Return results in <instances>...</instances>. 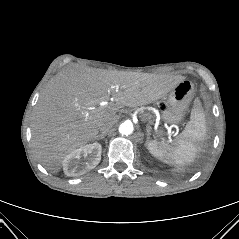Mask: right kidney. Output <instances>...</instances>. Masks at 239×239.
Listing matches in <instances>:
<instances>
[{
  "label": "right kidney",
  "mask_w": 239,
  "mask_h": 239,
  "mask_svg": "<svg viewBox=\"0 0 239 239\" xmlns=\"http://www.w3.org/2000/svg\"><path fill=\"white\" fill-rule=\"evenodd\" d=\"M101 150L102 146L99 143L88 144L75 149L63 160L64 173L67 176H80L95 168L101 160Z\"/></svg>",
  "instance_id": "ca27d5eb"
}]
</instances>
